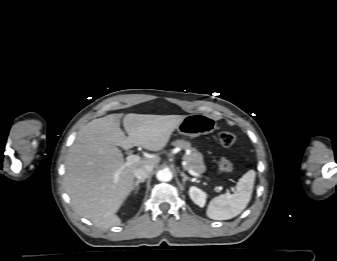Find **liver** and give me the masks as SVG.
<instances>
[{
	"instance_id": "obj_1",
	"label": "liver",
	"mask_w": 337,
	"mask_h": 261,
	"mask_svg": "<svg viewBox=\"0 0 337 261\" xmlns=\"http://www.w3.org/2000/svg\"><path fill=\"white\" fill-rule=\"evenodd\" d=\"M110 114L83 126L70 147L66 162L64 187L74 210L99 228L121 224L116 215L134 185V171L145 165H156L159 156L142 159L121 170L124 164L118 147L128 150L134 146L151 151L166 147L183 115Z\"/></svg>"
}]
</instances>
